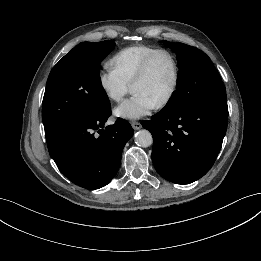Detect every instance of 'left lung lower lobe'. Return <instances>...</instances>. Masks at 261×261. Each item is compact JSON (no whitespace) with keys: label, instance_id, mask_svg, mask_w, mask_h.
<instances>
[{"label":"left lung lower lobe","instance_id":"obj_1","mask_svg":"<svg viewBox=\"0 0 261 261\" xmlns=\"http://www.w3.org/2000/svg\"><path fill=\"white\" fill-rule=\"evenodd\" d=\"M228 124L226 98L184 112L163 108L143 127L153 136L152 161L164 179L188 184L204 176L221 149Z\"/></svg>","mask_w":261,"mask_h":261}]
</instances>
